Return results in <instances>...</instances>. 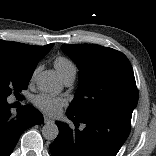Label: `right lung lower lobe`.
Returning a JSON list of instances; mask_svg holds the SVG:
<instances>
[{
	"label": "right lung lower lobe",
	"instance_id": "right-lung-lower-lobe-1",
	"mask_svg": "<svg viewBox=\"0 0 156 156\" xmlns=\"http://www.w3.org/2000/svg\"><path fill=\"white\" fill-rule=\"evenodd\" d=\"M6 98L0 96V156H9L21 134L29 127L43 123L42 114L31 105L21 106L13 117Z\"/></svg>",
	"mask_w": 156,
	"mask_h": 156
}]
</instances>
